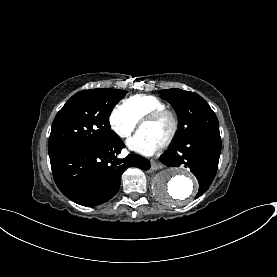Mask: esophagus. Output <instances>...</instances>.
Masks as SVG:
<instances>
[{
	"mask_svg": "<svg viewBox=\"0 0 277 277\" xmlns=\"http://www.w3.org/2000/svg\"><path fill=\"white\" fill-rule=\"evenodd\" d=\"M150 162H151V168L153 170H159V169H162L164 167V165L161 164L159 162V160H157V159H151Z\"/></svg>",
	"mask_w": 277,
	"mask_h": 277,
	"instance_id": "34e87169",
	"label": "esophagus"
}]
</instances>
